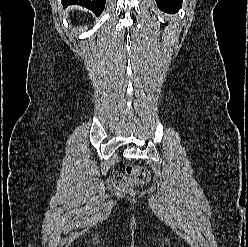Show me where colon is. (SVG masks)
I'll return each instance as SVG.
<instances>
[{
	"instance_id": "1",
	"label": "colon",
	"mask_w": 248,
	"mask_h": 247,
	"mask_svg": "<svg viewBox=\"0 0 248 247\" xmlns=\"http://www.w3.org/2000/svg\"><path fill=\"white\" fill-rule=\"evenodd\" d=\"M150 179L149 171L140 165H129L124 173H118L113 177V185L120 191L132 192L137 186L146 184Z\"/></svg>"
}]
</instances>
